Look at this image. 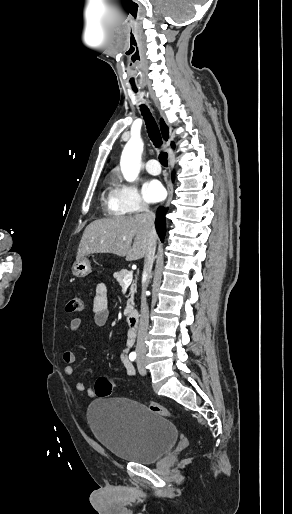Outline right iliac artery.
Segmentation results:
<instances>
[{
    "mask_svg": "<svg viewBox=\"0 0 292 514\" xmlns=\"http://www.w3.org/2000/svg\"><path fill=\"white\" fill-rule=\"evenodd\" d=\"M136 356H137V355H136V353H135V352H131V353L129 354V359H130L131 361H134V360L136 359Z\"/></svg>",
    "mask_w": 292,
    "mask_h": 514,
    "instance_id": "1",
    "label": "right iliac artery"
}]
</instances>
